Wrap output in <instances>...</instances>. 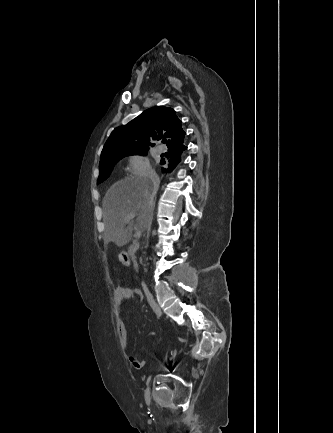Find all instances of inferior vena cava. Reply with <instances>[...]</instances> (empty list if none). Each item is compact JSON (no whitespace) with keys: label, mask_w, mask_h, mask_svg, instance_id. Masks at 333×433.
Masks as SVG:
<instances>
[{"label":"inferior vena cava","mask_w":333,"mask_h":433,"mask_svg":"<svg viewBox=\"0 0 333 433\" xmlns=\"http://www.w3.org/2000/svg\"><path fill=\"white\" fill-rule=\"evenodd\" d=\"M148 178H149V180H150V182L152 184V200H154L155 195H156V193H157V191L159 189L160 179H159L158 175L154 171H151L148 174ZM152 309H153V311L155 312V314H156V316L158 318H160L162 316V312H161L160 308L157 305L156 306H152Z\"/></svg>","instance_id":"obj_1"}]
</instances>
